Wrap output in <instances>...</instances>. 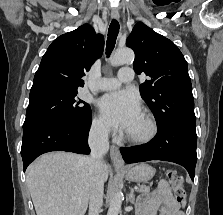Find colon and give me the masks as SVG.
Segmentation results:
<instances>
[{
	"instance_id": "obj_1",
	"label": "colon",
	"mask_w": 223,
	"mask_h": 215,
	"mask_svg": "<svg viewBox=\"0 0 223 215\" xmlns=\"http://www.w3.org/2000/svg\"><path fill=\"white\" fill-rule=\"evenodd\" d=\"M166 176L168 180L171 182L176 201L179 204L184 203L186 199V192L183 188V178L177 174L175 170L169 169L166 171Z\"/></svg>"
}]
</instances>
